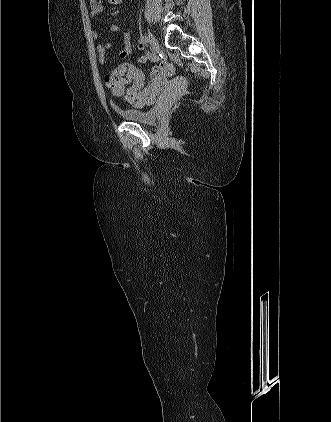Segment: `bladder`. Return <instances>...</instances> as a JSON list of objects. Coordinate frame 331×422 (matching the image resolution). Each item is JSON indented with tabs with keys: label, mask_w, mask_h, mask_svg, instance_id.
Returning a JSON list of instances; mask_svg holds the SVG:
<instances>
[{
	"label": "bladder",
	"mask_w": 331,
	"mask_h": 422,
	"mask_svg": "<svg viewBox=\"0 0 331 422\" xmlns=\"http://www.w3.org/2000/svg\"><path fill=\"white\" fill-rule=\"evenodd\" d=\"M163 99L164 98L161 97L159 101H162ZM119 113L123 118L130 122L150 124L157 118L158 107L153 106L148 109H121Z\"/></svg>",
	"instance_id": "obj_1"
}]
</instances>
